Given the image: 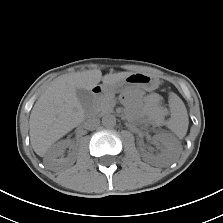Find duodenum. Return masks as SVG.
<instances>
[{
	"label": "duodenum",
	"mask_w": 223,
	"mask_h": 223,
	"mask_svg": "<svg viewBox=\"0 0 223 223\" xmlns=\"http://www.w3.org/2000/svg\"><path fill=\"white\" fill-rule=\"evenodd\" d=\"M103 93V88L100 85H97L93 88V95L100 96Z\"/></svg>",
	"instance_id": "duodenum-1"
}]
</instances>
